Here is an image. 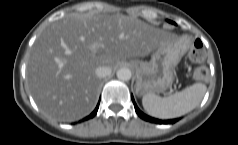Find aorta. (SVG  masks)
Returning <instances> with one entry per match:
<instances>
[{"instance_id": "1", "label": "aorta", "mask_w": 238, "mask_h": 145, "mask_svg": "<svg viewBox=\"0 0 238 145\" xmlns=\"http://www.w3.org/2000/svg\"><path fill=\"white\" fill-rule=\"evenodd\" d=\"M116 75H117V78L119 80H122V81H128L132 77L131 70L129 68H126V67L120 68L117 71Z\"/></svg>"}]
</instances>
